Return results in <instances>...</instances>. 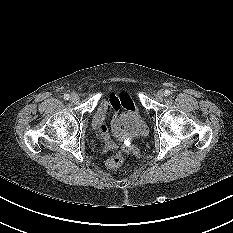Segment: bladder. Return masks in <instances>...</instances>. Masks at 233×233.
Listing matches in <instances>:
<instances>
[{
	"instance_id": "bladder-1",
	"label": "bladder",
	"mask_w": 233,
	"mask_h": 233,
	"mask_svg": "<svg viewBox=\"0 0 233 233\" xmlns=\"http://www.w3.org/2000/svg\"><path fill=\"white\" fill-rule=\"evenodd\" d=\"M147 132L146 121L136 111L120 114L112 124V133L118 138H135L144 136Z\"/></svg>"
}]
</instances>
